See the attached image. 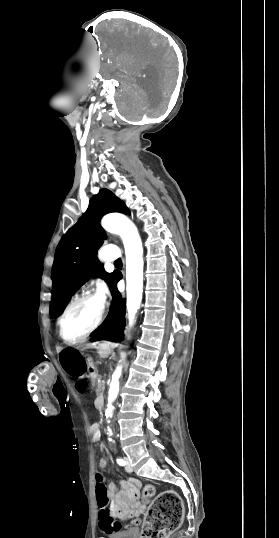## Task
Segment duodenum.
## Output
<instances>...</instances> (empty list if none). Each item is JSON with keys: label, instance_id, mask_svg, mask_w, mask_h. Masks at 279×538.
<instances>
[{"label": "duodenum", "instance_id": "410a0bca", "mask_svg": "<svg viewBox=\"0 0 279 538\" xmlns=\"http://www.w3.org/2000/svg\"><path fill=\"white\" fill-rule=\"evenodd\" d=\"M89 369H90V372H91V381H92V386H97V381H98V373H97V370L99 369V366L97 364H91L89 366ZM102 401H104V396L102 395H99L97 397V400L94 402V405L97 407V409L99 410V413H102V411L105 409V406L102 404Z\"/></svg>", "mask_w": 279, "mask_h": 538}]
</instances>
